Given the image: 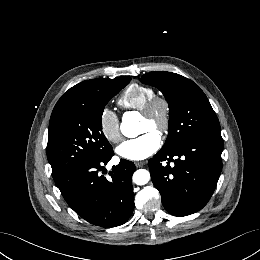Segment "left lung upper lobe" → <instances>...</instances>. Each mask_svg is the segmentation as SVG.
Here are the masks:
<instances>
[{
    "label": "left lung upper lobe",
    "mask_w": 260,
    "mask_h": 260,
    "mask_svg": "<svg viewBox=\"0 0 260 260\" xmlns=\"http://www.w3.org/2000/svg\"><path fill=\"white\" fill-rule=\"evenodd\" d=\"M140 81L158 88L169 104L168 137L162 148H174L200 136L221 135L214 110L193 81L165 71L147 73Z\"/></svg>",
    "instance_id": "obj_1"
}]
</instances>
